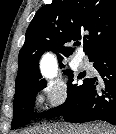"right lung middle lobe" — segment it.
Masks as SVG:
<instances>
[{
    "instance_id": "obj_1",
    "label": "right lung middle lobe",
    "mask_w": 116,
    "mask_h": 134,
    "mask_svg": "<svg viewBox=\"0 0 116 134\" xmlns=\"http://www.w3.org/2000/svg\"><path fill=\"white\" fill-rule=\"evenodd\" d=\"M65 73L69 76L67 99L64 104L50 109L45 113L38 115L33 112L35 96L37 92L46 86L45 80H40L28 85L19 94L14 96V115L11 124L12 129L26 125L31 120L38 117H51L53 114L62 111L66 105L73 103L79 98L85 86L87 85L89 78L84 79L82 84H77L73 83V72L71 70H66ZM78 78L81 77L79 76Z\"/></svg>"
}]
</instances>
